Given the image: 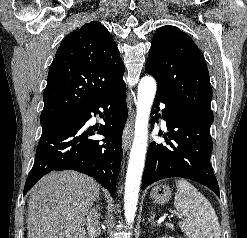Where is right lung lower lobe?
Listing matches in <instances>:
<instances>
[{
    "label": "right lung lower lobe",
    "instance_id": "1",
    "mask_svg": "<svg viewBox=\"0 0 247 238\" xmlns=\"http://www.w3.org/2000/svg\"><path fill=\"white\" fill-rule=\"evenodd\" d=\"M99 108L104 109L105 125L88 127L86 123L93 114L101 115ZM127 114L123 82L94 102L42 130L23 195L51 171L75 170L93 177L114 196L122 159L121 137ZM95 133L106 136L104 143L90 139Z\"/></svg>",
    "mask_w": 247,
    "mask_h": 238
}]
</instances>
